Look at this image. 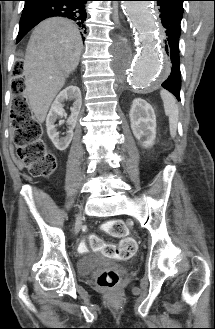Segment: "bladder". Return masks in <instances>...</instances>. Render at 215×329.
Segmentation results:
<instances>
[{"mask_svg": "<svg viewBox=\"0 0 215 329\" xmlns=\"http://www.w3.org/2000/svg\"><path fill=\"white\" fill-rule=\"evenodd\" d=\"M106 258L100 255L89 254L82 256L77 261V270L81 276H87L103 266Z\"/></svg>", "mask_w": 215, "mask_h": 329, "instance_id": "bladder-1", "label": "bladder"}]
</instances>
